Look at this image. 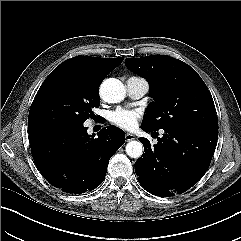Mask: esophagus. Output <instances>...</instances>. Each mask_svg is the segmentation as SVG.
<instances>
[{"label": "esophagus", "mask_w": 241, "mask_h": 241, "mask_svg": "<svg viewBox=\"0 0 241 241\" xmlns=\"http://www.w3.org/2000/svg\"><path fill=\"white\" fill-rule=\"evenodd\" d=\"M135 139V135L131 134V133H126L125 135V140L126 141H131Z\"/></svg>", "instance_id": "obj_1"}]
</instances>
